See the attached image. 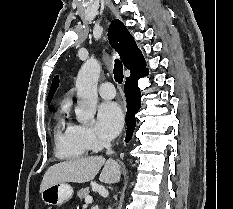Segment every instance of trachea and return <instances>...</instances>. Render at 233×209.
Returning a JSON list of instances; mask_svg holds the SVG:
<instances>
[{
  "mask_svg": "<svg viewBox=\"0 0 233 209\" xmlns=\"http://www.w3.org/2000/svg\"><path fill=\"white\" fill-rule=\"evenodd\" d=\"M113 73H114L115 81L121 84L123 82L124 75H123V65L119 59L115 60Z\"/></svg>",
  "mask_w": 233,
  "mask_h": 209,
  "instance_id": "1",
  "label": "trachea"
}]
</instances>
